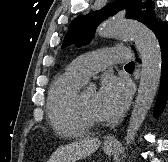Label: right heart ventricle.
<instances>
[{
    "label": "right heart ventricle",
    "instance_id": "e07e8e85",
    "mask_svg": "<svg viewBox=\"0 0 168 162\" xmlns=\"http://www.w3.org/2000/svg\"><path fill=\"white\" fill-rule=\"evenodd\" d=\"M84 81L69 67L53 81L47 99V116L54 131L66 137L84 135L88 128L77 118L74 102Z\"/></svg>",
    "mask_w": 168,
    "mask_h": 162
}]
</instances>
